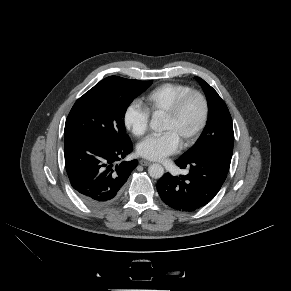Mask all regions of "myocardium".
Wrapping results in <instances>:
<instances>
[{"label":"myocardium","instance_id":"1","mask_svg":"<svg viewBox=\"0 0 291 291\" xmlns=\"http://www.w3.org/2000/svg\"><path fill=\"white\" fill-rule=\"evenodd\" d=\"M193 98H198L201 102L202 105V113H201V118L200 121L195 128V130L190 134L188 138H186L184 141L181 142V145L183 148H187L192 146L196 140L199 138L203 130L205 129L208 119H209V112H210V107H209V102L207 97L205 96L204 93L198 90H192L188 92L187 94L183 95L180 97L165 113L164 117L168 118H176L185 105Z\"/></svg>","mask_w":291,"mask_h":291}]
</instances>
